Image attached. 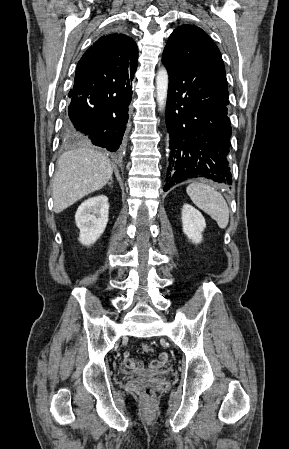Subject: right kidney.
Segmentation results:
<instances>
[{"mask_svg":"<svg viewBox=\"0 0 289 449\" xmlns=\"http://www.w3.org/2000/svg\"><path fill=\"white\" fill-rule=\"evenodd\" d=\"M108 213L109 203L105 195L89 198L78 207L75 221L80 230L81 244L90 246L100 238L108 223Z\"/></svg>","mask_w":289,"mask_h":449,"instance_id":"ca27d5eb","label":"right kidney"}]
</instances>
